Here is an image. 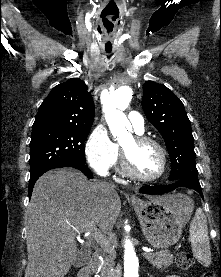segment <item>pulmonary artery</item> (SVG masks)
<instances>
[{
	"mask_svg": "<svg viewBox=\"0 0 221 277\" xmlns=\"http://www.w3.org/2000/svg\"><path fill=\"white\" fill-rule=\"evenodd\" d=\"M128 118L136 132L142 133L144 131V119L140 113L131 111Z\"/></svg>",
	"mask_w": 221,
	"mask_h": 277,
	"instance_id": "e3ab8cb5",
	"label": "pulmonary artery"
}]
</instances>
